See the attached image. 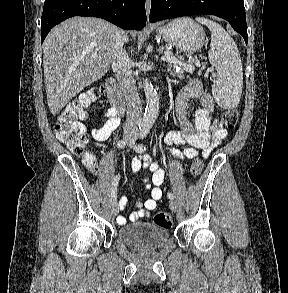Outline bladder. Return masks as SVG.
<instances>
[{
	"instance_id": "31cf9c89",
	"label": "bladder",
	"mask_w": 288,
	"mask_h": 293,
	"mask_svg": "<svg viewBox=\"0 0 288 293\" xmlns=\"http://www.w3.org/2000/svg\"><path fill=\"white\" fill-rule=\"evenodd\" d=\"M118 236L126 244L139 249L159 248L170 238L166 228L149 222L124 225L119 229Z\"/></svg>"
}]
</instances>
